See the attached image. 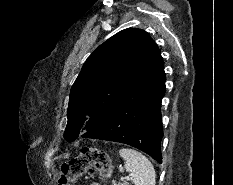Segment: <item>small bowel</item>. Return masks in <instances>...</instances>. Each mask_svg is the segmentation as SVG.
I'll list each match as a JSON object with an SVG mask.
<instances>
[{
  "label": "small bowel",
  "instance_id": "c3829d8e",
  "mask_svg": "<svg viewBox=\"0 0 233 185\" xmlns=\"http://www.w3.org/2000/svg\"><path fill=\"white\" fill-rule=\"evenodd\" d=\"M90 185H101V184L98 183V182H93V183H91Z\"/></svg>",
  "mask_w": 233,
  "mask_h": 185
}]
</instances>
